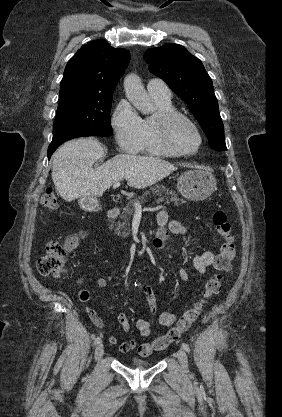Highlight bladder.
<instances>
[{
  "label": "bladder",
  "instance_id": "31cf9c89",
  "mask_svg": "<svg viewBox=\"0 0 282 417\" xmlns=\"http://www.w3.org/2000/svg\"><path fill=\"white\" fill-rule=\"evenodd\" d=\"M130 364L134 367H146L149 365V362L144 359L133 357L130 359Z\"/></svg>",
  "mask_w": 282,
  "mask_h": 417
}]
</instances>
